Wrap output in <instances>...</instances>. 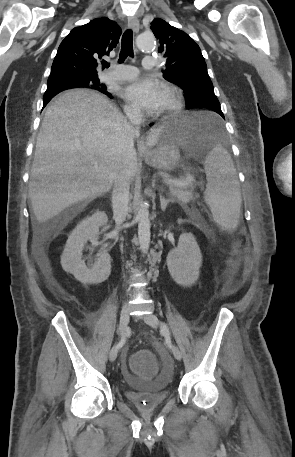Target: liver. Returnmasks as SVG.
<instances>
[{"label":"liver","mask_w":295,"mask_h":457,"mask_svg":"<svg viewBox=\"0 0 295 457\" xmlns=\"http://www.w3.org/2000/svg\"><path fill=\"white\" fill-rule=\"evenodd\" d=\"M159 130H151L148 146L156 144ZM137 137L139 131L100 93L74 89L55 98L46 109L31 168L29 197L38 222L109 192L119 173L133 181Z\"/></svg>","instance_id":"obj_1"}]
</instances>
